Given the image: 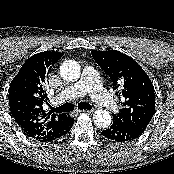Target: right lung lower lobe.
I'll return each mask as SVG.
<instances>
[{"instance_id": "obj_1", "label": "right lung lower lobe", "mask_w": 174, "mask_h": 174, "mask_svg": "<svg viewBox=\"0 0 174 174\" xmlns=\"http://www.w3.org/2000/svg\"><path fill=\"white\" fill-rule=\"evenodd\" d=\"M73 123H74V120H73ZM73 123H72V125H73ZM72 125H71L66 131H64L62 134L58 135L57 137H55V138L52 139V140H48L47 142L56 140V139H58V138H60V137H62V136H64V135H66V134L69 132V130L71 129Z\"/></svg>"}]
</instances>
